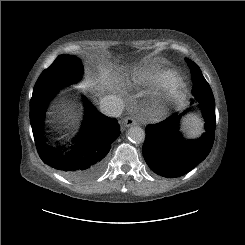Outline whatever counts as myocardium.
<instances>
[{
  "instance_id": "obj_1",
  "label": "myocardium",
  "mask_w": 245,
  "mask_h": 245,
  "mask_svg": "<svg viewBox=\"0 0 245 245\" xmlns=\"http://www.w3.org/2000/svg\"><path fill=\"white\" fill-rule=\"evenodd\" d=\"M169 102H170V99H168V98H161L160 100H159V107L160 108H162V109H164V108H166L168 105H169Z\"/></svg>"
}]
</instances>
